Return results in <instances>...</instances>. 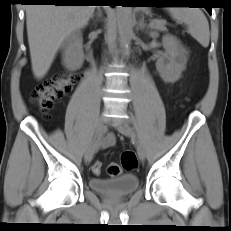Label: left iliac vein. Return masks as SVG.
<instances>
[{
    "instance_id": "4c4485c4",
    "label": "left iliac vein",
    "mask_w": 231,
    "mask_h": 231,
    "mask_svg": "<svg viewBox=\"0 0 231 231\" xmlns=\"http://www.w3.org/2000/svg\"><path fill=\"white\" fill-rule=\"evenodd\" d=\"M116 128L124 136H127V137L135 136V132L133 128L129 126L126 122H117ZM137 153H138L139 159L143 162L145 160L146 153H145V148L140 141H137Z\"/></svg>"
}]
</instances>
